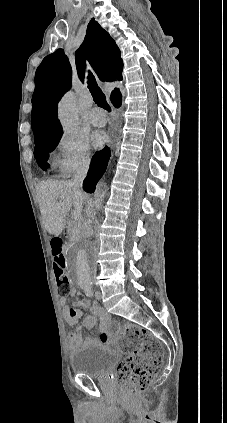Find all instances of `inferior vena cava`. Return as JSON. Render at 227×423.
Masks as SVG:
<instances>
[{"label": "inferior vena cava", "instance_id": "obj_1", "mask_svg": "<svg viewBox=\"0 0 227 423\" xmlns=\"http://www.w3.org/2000/svg\"><path fill=\"white\" fill-rule=\"evenodd\" d=\"M89 164H90V158H85V160H82V162L78 164L77 168H75L71 186L72 188H74V190H78V192H82V184L89 170ZM89 233L90 235H92L93 229H90Z\"/></svg>", "mask_w": 227, "mask_h": 423}]
</instances>
